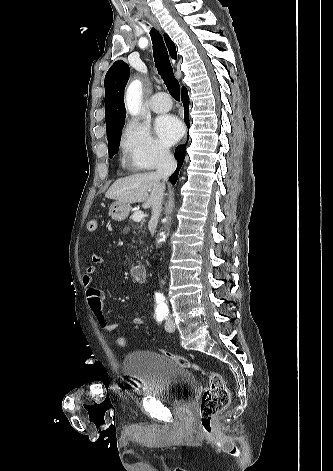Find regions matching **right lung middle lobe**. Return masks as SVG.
Segmentation results:
<instances>
[{
	"mask_svg": "<svg viewBox=\"0 0 333 471\" xmlns=\"http://www.w3.org/2000/svg\"><path fill=\"white\" fill-rule=\"evenodd\" d=\"M125 122H122L109 131H107V139H108V148H109V156L110 158L113 157L114 154L118 152L120 139H121V130L124 126Z\"/></svg>",
	"mask_w": 333,
	"mask_h": 471,
	"instance_id": "1",
	"label": "right lung middle lobe"
}]
</instances>
